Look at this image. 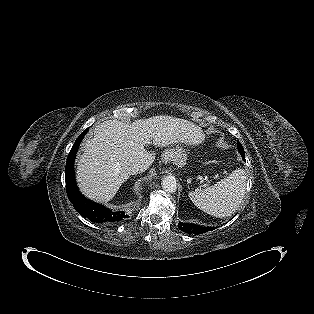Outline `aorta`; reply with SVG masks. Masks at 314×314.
I'll return each instance as SVG.
<instances>
[{
    "mask_svg": "<svg viewBox=\"0 0 314 314\" xmlns=\"http://www.w3.org/2000/svg\"><path fill=\"white\" fill-rule=\"evenodd\" d=\"M162 188L169 193H174L177 190V182L176 179L172 176H167L162 180Z\"/></svg>",
    "mask_w": 314,
    "mask_h": 314,
    "instance_id": "obj_1",
    "label": "aorta"
}]
</instances>
